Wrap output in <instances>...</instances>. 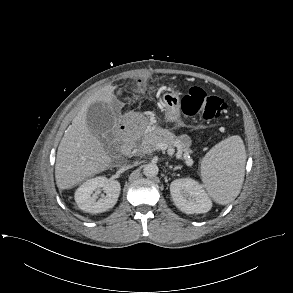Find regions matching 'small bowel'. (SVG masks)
Returning <instances> with one entry per match:
<instances>
[{
    "instance_id": "small-bowel-1",
    "label": "small bowel",
    "mask_w": 293,
    "mask_h": 293,
    "mask_svg": "<svg viewBox=\"0 0 293 293\" xmlns=\"http://www.w3.org/2000/svg\"><path fill=\"white\" fill-rule=\"evenodd\" d=\"M179 142L184 148H189L190 146V141L187 136H181Z\"/></svg>"
}]
</instances>
